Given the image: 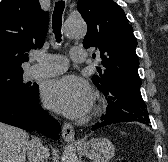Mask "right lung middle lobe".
Instances as JSON below:
<instances>
[{
    "label": "right lung middle lobe",
    "mask_w": 168,
    "mask_h": 162,
    "mask_svg": "<svg viewBox=\"0 0 168 162\" xmlns=\"http://www.w3.org/2000/svg\"><path fill=\"white\" fill-rule=\"evenodd\" d=\"M23 72L0 75V94L28 96L35 90V85L23 83Z\"/></svg>",
    "instance_id": "right-lung-middle-lobe-1"
}]
</instances>
